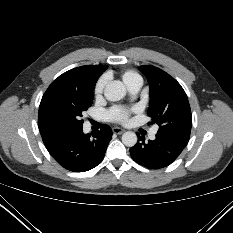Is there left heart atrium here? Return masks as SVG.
I'll list each match as a JSON object with an SVG mask.
<instances>
[{
    "instance_id": "39dd6f15",
    "label": "left heart atrium",
    "mask_w": 233,
    "mask_h": 233,
    "mask_svg": "<svg viewBox=\"0 0 233 233\" xmlns=\"http://www.w3.org/2000/svg\"><path fill=\"white\" fill-rule=\"evenodd\" d=\"M131 114V110L115 106L107 112L110 121L116 123H127Z\"/></svg>"
}]
</instances>
